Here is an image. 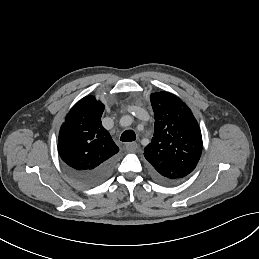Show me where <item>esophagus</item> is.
I'll list each match as a JSON object with an SVG mask.
<instances>
[{
  "instance_id": "1",
  "label": "esophagus",
  "mask_w": 259,
  "mask_h": 259,
  "mask_svg": "<svg viewBox=\"0 0 259 259\" xmlns=\"http://www.w3.org/2000/svg\"><path fill=\"white\" fill-rule=\"evenodd\" d=\"M138 149V144L136 142H131L126 144L127 151H136Z\"/></svg>"
}]
</instances>
